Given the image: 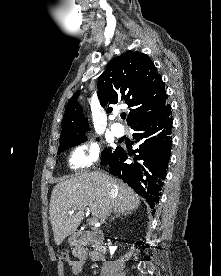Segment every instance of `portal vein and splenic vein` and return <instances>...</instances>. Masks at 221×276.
Instances as JSON below:
<instances>
[{
    "label": "portal vein and splenic vein",
    "instance_id": "obj_1",
    "mask_svg": "<svg viewBox=\"0 0 221 276\" xmlns=\"http://www.w3.org/2000/svg\"><path fill=\"white\" fill-rule=\"evenodd\" d=\"M87 211H89V209H87ZM70 213L74 212V209H72L71 211H69ZM90 224L91 225H97L99 224L98 221L96 219H91L90 220Z\"/></svg>",
    "mask_w": 221,
    "mask_h": 276
}]
</instances>
